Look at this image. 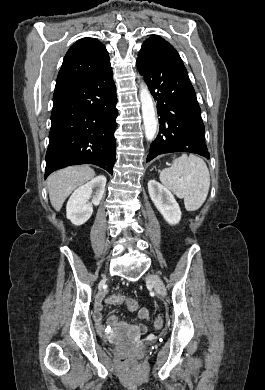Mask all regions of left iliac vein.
<instances>
[{"mask_svg": "<svg viewBox=\"0 0 265 390\" xmlns=\"http://www.w3.org/2000/svg\"><path fill=\"white\" fill-rule=\"evenodd\" d=\"M146 280L148 283H150L155 291L161 296L165 297L166 296V288L162 280L155 274H149L146 277Z\"/></svg>", "mask_w": 265, "mask_h": 390, "instance_id": "obj_1", "label": "left iliac vein"}]
</instances>
